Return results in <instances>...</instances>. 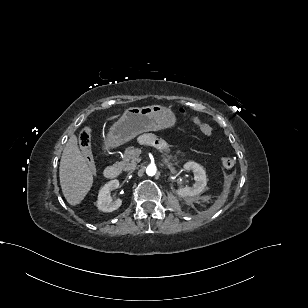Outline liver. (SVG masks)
<instances>
[{"mask_svg":"<svg viewBox=\"0 0 308 308\" xmlns=\"http://www.w3.org/2000/svg\"><path fill=\"white\" fill-rule=\"evenodd\" d=\"M59 177L63 195L70 205L79 204L92 187L93 175L78 148L75 135L70 136L64 147Z\"/></svg>","mask_w":308,"mask_h":308,"instance_id":"1","label":"liver"}]
</instances>
